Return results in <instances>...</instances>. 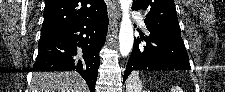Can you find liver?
Masks as SVG:
<instances>
[{
	"label": "liver",
	"mask_w": 225,
	"mask_h": 92,
	"mask_svg": "<svg viewBox=\"0 0 225 92\" xmlns=\"http://www.w3.org/2000/svg\"><path fill=\"white\" fill-rule=\"evenodd\" d=\"M30 92H88V87L75 72H35Z\"/></svg>",
	"instance_id": "liver-1"
}]
</instances>
